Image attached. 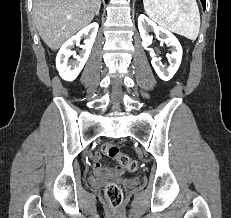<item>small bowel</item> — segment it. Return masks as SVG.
I'll use <instances>...</instances> for the list:
<instances>
[{
    "label": "small bowel",
    "instance_id": "small-bowel-1",
    "mask_svg": "<svg viewBox=\"0 0 231 218\" xmlns=\"http://www.w3.org/2000/svg\"><path fill=\"white\" fill-rule=\"evenodd\" d=\"M94 172L98 176H120L123 174V168L120 166L110 167L104 163L100 153L93 156Z\"/></svg>",
    "mask_w": 231,
    "mask_h": 218
}]
</instances>
